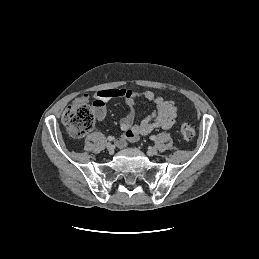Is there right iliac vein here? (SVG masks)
<instances>
[{
    "label": "right iliac vein",
    "instance_id": "right-iliac-vein-1",
    "mask_svg": "<svg viewBox=\"0 0 259 259\" xmlns=\"http://www.w3.org/2000/svg\"><path fill=\"white\" fill-rule=\"evenodd\" d=\"M106 148L109 152H113L114 151V146L111 143H106Z\"/></svg>",
    "mask_w": 259,
    "mask_h": 259
}]
</instances>
